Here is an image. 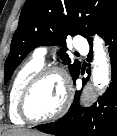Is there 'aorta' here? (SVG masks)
<instances>
[{
	"label": "aorta",
	"instance_id": "1",
	"mask_svg": "<svg viewBox=\"0 0 117 136\" xmlns=\"http://www.w3.org/2000/svg\"><path fill=\"white\" fill-rule=\"evenodd\" d=\"M94 68L92 70V81L99 90L103 89L109 82L110 65L104 50V41L94 37Z\"/></svg>",
	"mask_w": 117,
	"mask_h": 136
}]
</instances>
